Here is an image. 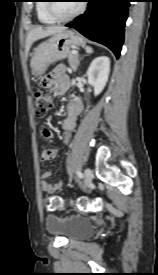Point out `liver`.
Instances as JSON below:
<instances>
[{
  "mask_svg": "<svg viewBox=\"0 0 158 275\" xmlns=\"http://www.w3.org/2000/svg\"><path fill=\"white\" fill-rule=\"evenodd\" d=\"M66 30L63 26H50V27H34L27 35L26 38V51L28 52L32 44L42 38L55 35L57 33L63 32Z\"/></svg>",
  "mask_w": 158,
  "mask_h": 275,
  "instance_id": "obj_1",
  "label": "liver"
}]
</instances>
